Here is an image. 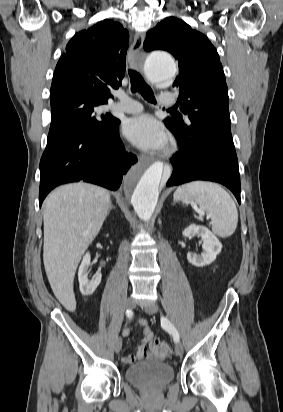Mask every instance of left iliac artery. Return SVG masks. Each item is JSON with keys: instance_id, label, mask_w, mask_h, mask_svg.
<instances>
[{"instance_id": "1", "label": "left iliac artery", "mask_w": 283, "mask_h": 412, "mask_svg": "<svg viewBox=\"0 0 283 412\" xmlns=\"http://www.w3.org/2000/svg\"><path fill=\"white\" fill-rule=\"evenodd\" d=\"M161 325L167 332H169L173 336L175 342H179V333L176 330L175 326L167 318H161Z\"/></svg>"}]
</instances>
